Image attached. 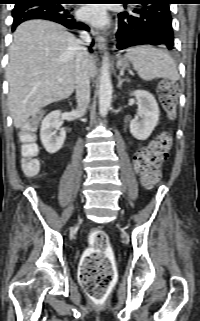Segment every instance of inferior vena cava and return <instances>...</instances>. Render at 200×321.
Returning a JSON list of instances; mask_svg holds the SVG:
<instances>
[{"label":"inferior vena cava","instance_id":"1","mask_svg":"<svg viewBox=\"0 0 200 321\" xmlns=\"http://www.w3.org/2000/svg\"><path fill=\"white\" fill-rule=\"evenodd\" d=\"M91 43L89 33L83 31L80 33V39L76 42V99L77 113L81 117L85 114L90 101V76L88 69L89 53L87 45Z\"/></svg>","mask_w":200,"mask_h":321}]
</instances>
